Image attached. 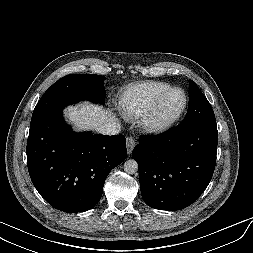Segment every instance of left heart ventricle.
<instances>
[{"label":"left heart ventricle","instance_id":"b2bd125f","mask_svg":"<svg viewBox=\"0 0 253 253\" xmlns=\"http://www.w3.org/2000/svg\"><path fill=\"white\" fill-rule=\"evenodd\" d=\"M183 96L179 92H174L166 97L160 104L157 111V119L165 121L172 118L182 107Z\"/></svg>","mask_w":253,"mask_h":253}]
</instances>
